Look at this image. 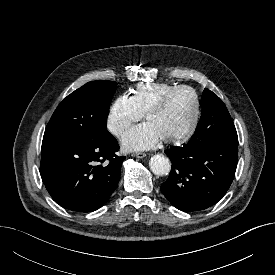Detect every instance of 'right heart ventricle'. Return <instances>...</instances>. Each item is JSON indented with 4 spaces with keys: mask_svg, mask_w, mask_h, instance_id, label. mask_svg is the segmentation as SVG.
Instances as JSON below:
<instances>
[{
    "mask_svg": "<svg viewBox=\"0 0 275 275\" xmlns=\"http://www.w3.org/2000/svg\"><path fill=\"white\" fill-rule=\"evenodd\" d=\"M175 85L168 83H140L131 89V99L136 108L145 114L148 108Z\"/></svg>",
    "mask_w": 275,
    "mask_h": 275,
    "instance_id": "1",
    "label": "right heart ventricle"
}]
</instances>
